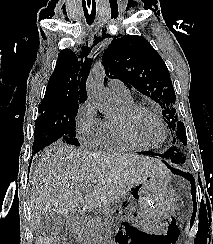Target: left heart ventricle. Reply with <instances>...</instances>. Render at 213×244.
<instances>
[{"instance_id": "b2bd125f", "label": "left heart ventricle", "mask_w": 213, "mask_h": 244, "mask_svg": "<svg viewBox=\"0 0 213 244\" xmlns=\"http://www.w3.org/2000/svg\"><path fill=\"white\" fill-rule=\"evenodd\" d=\"M121 115V112L119 116ZM118 116V117H119ZM134 134L144 143L156 145L163 139V129L159 122L150 114L142 112L131 121Z\"/></svg>"}]
</instances>
